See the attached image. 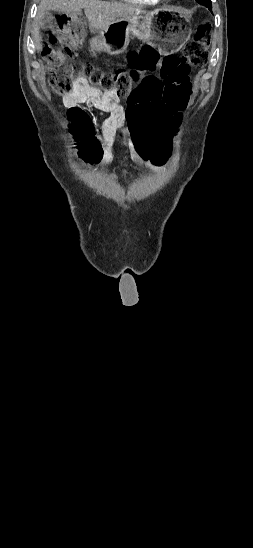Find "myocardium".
Returning a JSON list of instances; mask_svg holds the SVG:
<instances>
[{
  "mask_svg": "<svg viewBox=\"0 0 253 548\" xmlns=\"http://www.w3.org/2000/svg\"><path fill=\"white\" fill-rule=\"evenodd\" d=\"M159 1H171V0H159Z\"/></svg>",
  "mask_w": 253,
  "mask_h": 548,
  "instance_id": "obj_1",
  "label": "myocardium"
}]
</instances>
